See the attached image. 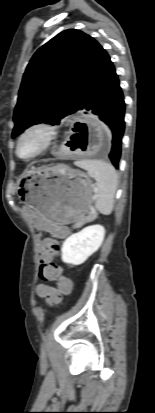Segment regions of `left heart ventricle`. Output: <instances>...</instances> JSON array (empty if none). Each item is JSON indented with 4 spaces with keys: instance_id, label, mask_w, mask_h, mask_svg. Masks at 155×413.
<instances>
[{
    "instance_id": "left-heart-ventricle-1",
    "label": "left heart ventricle",
    "mask_w": 155,
    "mask_h": 413,
    "mask_svg": "<svg viewBox=\"0 0 155 413\" xmlns=\"http://www.w3.org/2000/svg\"><path fill=\"white\" fill-rule=\"evenodd\" d=\"M44 141V134L40 131H35L27 135L21 142L19 147V154L22 157H30L36 153L42 146Z\"/></svg>"
}]
</instances>
